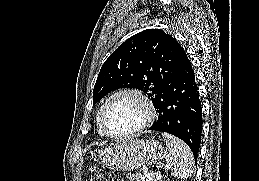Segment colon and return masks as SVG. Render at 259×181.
Instances as JSON below:
<instances>
[{
  "label": "colon",
  "mask_w": 259,
  "mask_h": 181,
  "mask_svg": "<svg viewBox=\"0 0 259 181\" xmlns=\"http://www.w3.org/2000/svg\"><path fill=\"white\" fill-rule=\"evenodd\" d=\"M90 181H108V179L102 172L97 171L91 175Z\"/></svg>",
  "instance_id": "obj_1"
}]
</instances>
